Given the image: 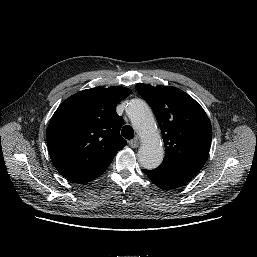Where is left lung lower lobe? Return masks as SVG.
<instances>
[{
  "mask_svg": "<svg viewBox=\"0 0 257 257\" xmlns=\"http://www.w3.org/2000/svg\"><path fill=\"white\" fill-rule=\"evenodd\" d=\"M150 180L161 189H175L191 180V176L161 167L154 170H142Z\"/></svg>",
  "mask_w": 257,
  "mask_h": 257,
  "instance_id": "1",
  "label": "left lung lower lobe"
}]
</instances>
